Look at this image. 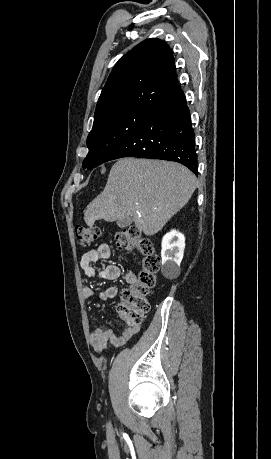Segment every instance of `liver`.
<instances>
[{
    "instance_id": "6515ba94",
    "label": "liver",
    "mask_w": 271,
    "mask_h": 459,
    "mask_svg": "<svg viewBox=\"0 0 271 459\" xmlns=\"http://www.w3.org/2000/svg\"><path fill=\"white\" fill-rule=\"evenodd\" d=\"M196 190V178L188 168L165 160L120 158L114 164L101 194L88 204L84 220L116 222L130 218L136 228L154 235L186 206Z\"/></svg>"
}]
</instances>
